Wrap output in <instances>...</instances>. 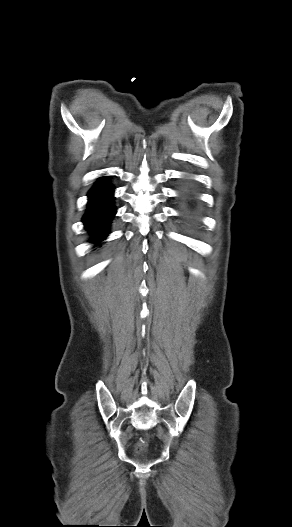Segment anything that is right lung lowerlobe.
Listing matches in <instances>:
<instances>
[{
    "label": "right lung lower lobe",
    "instance_id": "right-lung-lower-lobe-1",
    "mask_svg": "<svg viewBox=\"0 0 292 527\" xmlns=\"http://www.w3.org/2000/svg\"><path fill=\"white\" fill-rule=\"evenodd\" d=\"M88 197V209L83 222L92 240L99 242L108 234L110 222L116 213L113 206V187L102 177L90 190Z\"/></svg>",
    "mask_w": 292,
    "mask_h": 527
}]
</instances>
